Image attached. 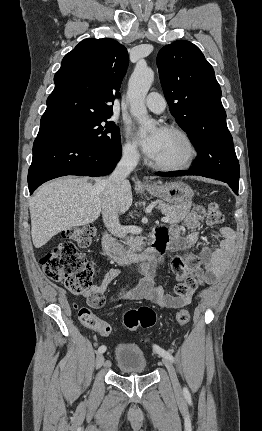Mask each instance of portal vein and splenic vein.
Wrapping results in <instances>:
<instances>
[{
	"label": "portal vein and splenic vein",
	"mask_w": 262,
	"mask_h": 431,
	"mask_svg": "<svg viewBox=\"0 0 262 431\" xmlns=\"http://www.w3.org/2000/svg\"><path fill=\"white\" fill-rule=\"evenodd\" d=\"M161 221L162 222H168V218L167 217H163V218H161Z\"/></svg>",
	"instance_id": "18ae733b"
}]
</instances>
